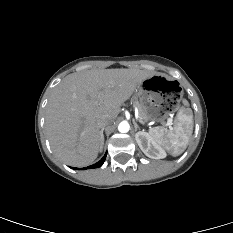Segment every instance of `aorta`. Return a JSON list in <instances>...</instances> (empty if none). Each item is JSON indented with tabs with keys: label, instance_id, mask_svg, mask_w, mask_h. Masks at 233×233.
Instances as JSON below:
<instances>
[{
	"label": "aorta",
	"instance_id": "762f6f07",
	"mask_svg": "<svg viewBox=\"0 0 233 233\" xmlns=\"http://www.w3.org/2000/svg\"><path fill=\"white\" fill-rule=\"evenodd\" d=\"M118 130L121 133H127L130 130V125L128 122L123 121L118 125Z\"/></svg>",
	"mask_w": 233,
	"mask_h": 233
}]
</instances>
